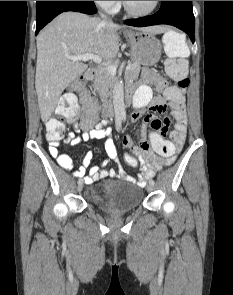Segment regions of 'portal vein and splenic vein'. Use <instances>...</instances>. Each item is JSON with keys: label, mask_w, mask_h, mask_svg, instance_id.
<instances>
[{"label": "portal vein and splenic vein", "mask_w": 233, "mask_h": 295, "mask_svg": "<svg viewBox=\"0 0 233 295\" xmlns=\"http://www.w3.org/2000/svg\"><path fill=\"white\" fill-rule=\"evenodd\" d=\"M67 58H69L70 60H73V61H84V62L92 60L93 62L97 63L98 65L105 67L106 70L113 75L116 74V72H117V65L106 64L103 62V60L100 56L95 55V54L88 53V54L75 55V56L67 55ZM130 68H131V65L128 64L126 66V70H129Z\"/></svg>", "instance_id": "portal-vein-and-splenic-vein-1"}]
</instances>
